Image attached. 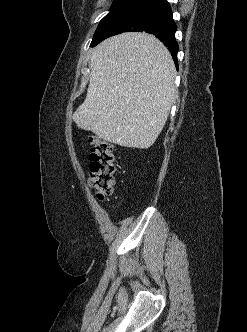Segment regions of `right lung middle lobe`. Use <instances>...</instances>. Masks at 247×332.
<instances>
[{"instance_id":"obj_1","label":"right lung middle lobe","mask_w":247,"mask_h":332,"mask_svg":"<svg viewBox=\"0 0 247 332\" xmlns=\"http://www.w3.org/2000/svg\"><path fill=\"white\" fill-rule=\"evenodd\" d=\"M146 3L148 2L145 0H114L110 12L99 23L90 46H95L97 44L101 34L111 24Z\"/></svg>"}]
</instances>
